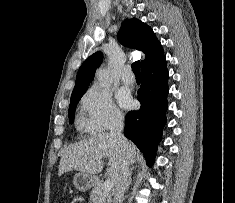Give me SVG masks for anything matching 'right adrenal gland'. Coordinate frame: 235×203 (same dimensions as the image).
Instances as JSON below:
<instances>
[{
	"instance_id": "1",
	"label": "right adrenal gland",
	"mask_w": 235,
	"mask_h": 203,
	"mask_svg": "<svg viewBox=\"0 0 235 203\" xmlns=\"http://www.w3.org/2000/svg\"><path fill=\"white\" fill-rule=\"evenodd\" d=\"M132 172L129 173V177H128V183H127V187L126 190L129 189V186L132 184V177H131Z\"/></svg>"
}]
</instances>
